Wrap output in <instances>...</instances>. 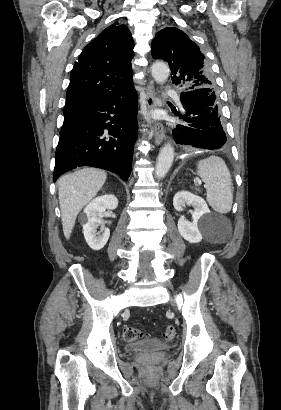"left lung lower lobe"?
<instances>
[{"mask_svg":"<svg viewBox=\"0 0 281 410\" xmlns=\"http://www.w3.org/2000/svg\"><path fill=\"white\" fill-rule=\"evenodd\" d=\"M180 99L185 115L177 113L184 122L173 131L175 141L196 148H221L227 138L220 121L215 90L199 88L184 91Z\"/></svg>","mask_w":281,"mask_h":410,"instance_id":"0a47b994","label":"left lung lower lobe"}]
</instances>
